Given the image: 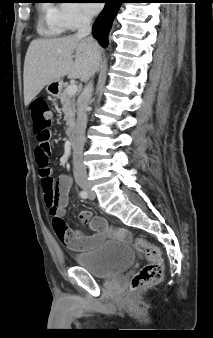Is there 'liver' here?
<instances>
[{
  "label": "liver",
  "mask_w": 213,
  "mask_h": 338,
  "mask_svg": "<svg viewBox=\"0 0 213 338\" xmlns=\"http://www.w3.org/2000/svg\"><path fill=\"white\" fill-rule=\"evenodd\" d=\"M100 55L101 47L94 39L70 35L33 40L24 61V104L64 76L88 81L100 65Z\"/></svg>",
  "instance_id": "1"
}]
</instances>
